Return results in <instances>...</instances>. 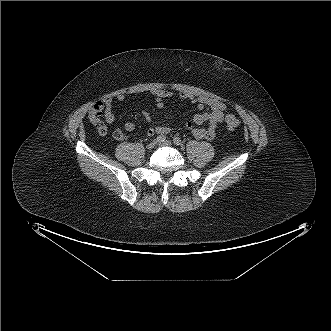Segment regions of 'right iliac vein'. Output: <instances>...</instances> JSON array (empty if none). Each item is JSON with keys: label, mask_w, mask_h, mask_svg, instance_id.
I'll return each instance as SVG.
<instances>
[{"label": "right iliac vein", "mask_w": 331, "mask_h": 331, "mask_svg": "<svg viewBox=\"0 0 331 331\" xmlns=\"http://www.w3.org/2000/svg\"><path fill=\"white\" fill-rule=\"evenodd\" d=\"M155 146H156V142H151L146 147L148 150H152Z\"/></svg>", "instance_id": "63e3f726"}]
</instances>
